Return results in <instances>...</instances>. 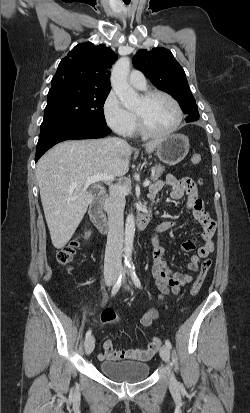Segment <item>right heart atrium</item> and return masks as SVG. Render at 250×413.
<instances>
[{
	"instance_id": "right-heart-atrium-1",
	"label": "right heart atrium",
	"mask_w": 250,
	"mask_h": 413,
	"mask_svg": "<svg viewBox=\"0 0 250 413\" xmlns=\"http://www.w3.org/2000/svg\"><path fill=\"white\" fill-rule=\"evenodd\" d=\"M102 113L106 124L117 134L128 136L132 132L133 118L121 103L114 90H111L102 105Z\"/></svg>"
}]
</instances>
